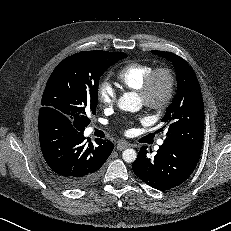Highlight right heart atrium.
<instances>
[{
  "label": "right heart atrium",
  "mask_w": 231,
  "mask_h": 231,
  "mask_svg": "<svg viewBox=\"0 0 231 231\" xmlns=\"http://www.w3.org/2000/svg\"><path fill=\"white\" fill-rule=\"evenodd\" d=\"M97 99L104 106H112L115 103L116 92L109 82L103 81L98 85Z\"/></svg>",
  "instance_id": "right-heart-atrium-1"
}]
</instances>
